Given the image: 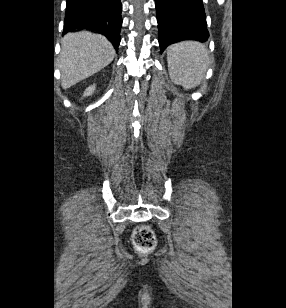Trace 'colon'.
Segmentation results:
<instances>
[{
	"label": "colon",
	"instance_id": "1",
	"mask_svg": "<svg viewBox=\"0 0 286 308\" xmlns=\"http://www.w3.org/2000/svg\"><path fill=\"white\" fill-rule=\"evenodd\" d=\"M132 241L139 251L147 252L155 247L156 236L150 227L142 225L133 232Z\"/></svg>",
	"mask_w": 286,
	"mask_h": 308
}]
</instances>
